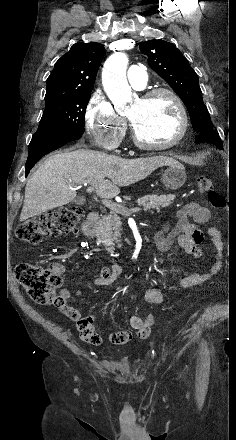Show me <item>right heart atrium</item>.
<instances>
[{
    "label": "right heart atrium",
    "mask_w": 236,
    "mask_h": 440,
    "mask_svg": "<svg viewBox=\"0 0 236 440\" xmlns=\"http://www.w3.org/2000/svg\"><path fill=\"white\" fill-rule=\"evenodd\" d=\"M84 122L93 142L108 151H115L126 133V121L99 89L87 102Z\"/></svg>",
    "instance_id": "obj_1"
}]
</instances>
